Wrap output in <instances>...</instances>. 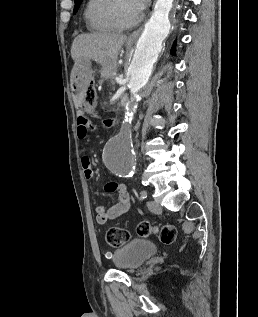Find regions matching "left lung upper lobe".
I'll return each mask as SVG.
<instances>
[{"mask_svg":"<svg viewBox=\"0 0 258 317\" xmlns=\"http://www.w3.org/2000/svg\"><path fill=\"white\" fill-rule=\"evenodd\" d=\"M82 0H75L74 14L77 12Z\"/></svg>","mask_w":258,"mask_h":317,"instance_id":"left-lung-upper-lobe-1","label":"left lung upper lobe"}]
</instances>
